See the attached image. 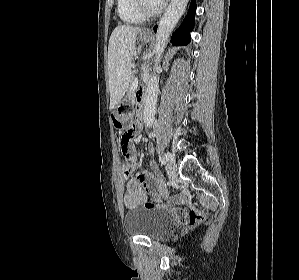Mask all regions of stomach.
Masks as SVG:
<instances>
[{"mask_svg": "<svg viewBox=\"0 0 299 280\" xmlns=\"http://www.w3.org/2000/svg\"><path fill=\"white\" fill-rule=\"evenodd\" d=\"M152 37L141 34L140 40L144 43H149ZM129 105L128 100L121 101L115 110L112 112V121L116 128H124L130 121V113L126 111V107Z\"/></svg>", "mask_w": 299, "mask_h": 280, "instance_id": "0dacf381", "label": "stomach"}]
</instances>
